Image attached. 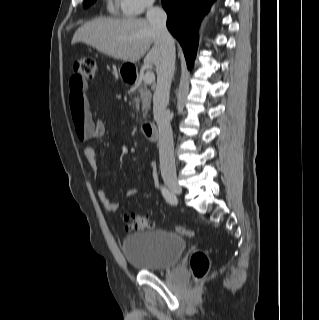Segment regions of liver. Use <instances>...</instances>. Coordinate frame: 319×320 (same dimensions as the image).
Returning <instances> with one entry per match:
<instances>
[{
	"instance_id": "6515ba94",
	"label": "liver",
	"mask_w": 319,
	"mask_h": 320,
	"mask_svg": "<svg viewBox=\"0 0 319 320\" xmlns=\"http://www.w3.org/2000/svg\"><path fill=\"white\" fill-rule=\"evenodd\" d=\"M79 42L125 62L135 63L145 55V65H154L156 69L160 65L161 44L147 19L99 18L89 21L77 29L71 41L72 44Z\"/></svg>"
}]
</instances>
